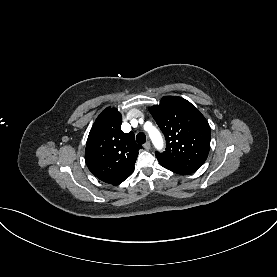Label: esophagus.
Listing matches in <instances>:
<instances>
[{"label": "esophagus", "mask_w": 277, "mask_h": 277, "mask_svg": "<svg viewBox=\"0 0 277 277\" xmlns=\"http://www.w3.org/2000/svg\"><path fill=\"white\" fill-rule=\"evenodd\" d=\"M144 149L149 150L151 148V143L150 141H147L144 145H143Z\"/></svg>", "instance_id": "esophagus-1"}]
</instances>
